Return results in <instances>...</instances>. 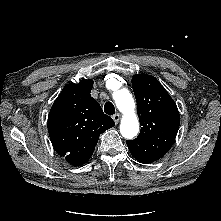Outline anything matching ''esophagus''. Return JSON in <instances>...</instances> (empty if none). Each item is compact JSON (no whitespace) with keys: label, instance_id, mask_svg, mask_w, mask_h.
Segmentation results:
<instances>
[{"label":"esophagus","instance_id":"obj_1","mask_svg":"<svg viewBox=\"0 0 221 221\" xmlns=\"http://www.w3.org/2000/svg\"><path fill=\"white\" fill-rule=\"evenodd\" d=\"M112 118H113L114 122L117 124L121 118V115L119 113H117V114H114L112 116Z\"/></svg>","mask_w":221,"mask_h":221}]
</instances>
